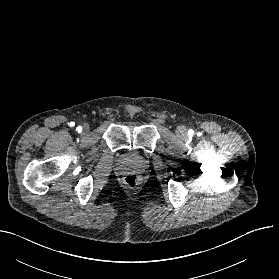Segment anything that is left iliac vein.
<instances>
[{"mask_svg":"<svg viewBox=\"0 0 279 279\" xmlns=\"http://www.w3.org/2000/svg\"><path fill=\"white\" fill-rule=\"evenodd\" d=\"M176 134L180 138H186L187 137V131L183 126H179L176 130Z\"/></svg>","mask_w":279,"mask_h":279,"instance_id":"1","label":"left iliac vein"}]
</instances>
